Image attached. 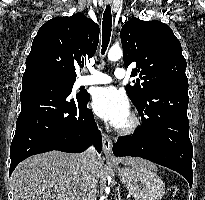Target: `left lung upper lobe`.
<instances>
[{
	"instance_id": "obj_1",
	"label": "left lung upper lobe",
	"mask_w": 205,
	"mask_h": 200,
	"mask_svg": "<svg viewBox=\"0 0 205 200\" xmlns=\"http://www.w3.org/2000/svg\"><path fill=\"white\" fill-rule=\"evenodd\" d=\"M120 35L124 64L128 67L136 63L131 76H139L134 86H126V91L141 111V117H145L142 111L154 88L170 84L188 85L186 60L172 29L160 21L132 18L122 26ZM140 80L143 81L141 84Z\"/></svg>"
}]
</instances>
